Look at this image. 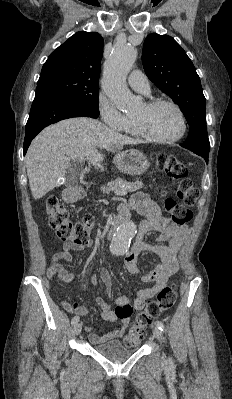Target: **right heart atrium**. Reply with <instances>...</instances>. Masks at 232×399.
<instances>
[{"mask_svg": "<svg viewBox=\"0 0 232 399\" xmlns=\"http://www.w3.org/2000/svg\"><path fill=\"white\" fill-rule=\"evenodd\" d=\"M98 112L105 125H112L113 130H120L128 121L122 113L109 105H99Z\"/></svg>", "mask_w": 232, "mask_h": 399, "instance_id": "1", "label": "right heart atrium"}]
</instances>
